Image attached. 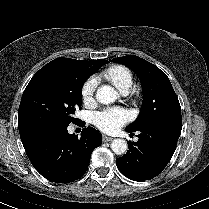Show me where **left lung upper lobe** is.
Listing matches in <instances>:
<instances>
[{"label": "left lung upper lobe", "instance_id": "1", "mask_svg": "<svg viewBox=\"0 0 209 209\" xmlns=\"http://www.w3.org/2000/svg\"><path fill=\"white\" fill-rule=\"evenodd\" d=\"M111 61L131 68L143 87V104L138 118L126 129L138 131L159 125H182L181 107L168 77L157 66L134 55Z\"/></svg>", "mask_w": 209, "mask_h": 209}]
</instances>
